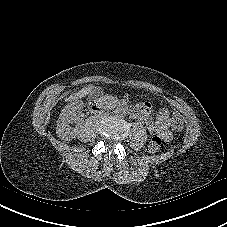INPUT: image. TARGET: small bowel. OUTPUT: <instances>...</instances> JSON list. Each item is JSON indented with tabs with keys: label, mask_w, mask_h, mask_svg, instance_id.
I'll use <instances>...</instances> for the list:
<instances>
[{
	"label": "small bowel",
	"mask_w": 227,
	"mask_h": 227,
	"mask_svg": "<svg viewBox=\"0 0 227 227\" xmlns=\"http://www.w3.org/2000/svg\"><path fill=\"white\" fill-rule=\"evenodd\" d=\"M135 110L138 112L135 119L142 120L150 134L158 135L166 142L172 139L170 111L167 108H160L156 120L152 119L151 106L148 103Z\"/></svg>",
	"instance_id": "1"
}]
</instances>
